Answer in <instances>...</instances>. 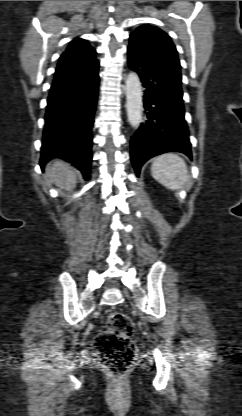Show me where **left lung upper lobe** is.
Listing matches in <instances>:
<instances>
[{
    "instance_id": "obj_1",
    "label": "left lung upper lobe",
    "mask_w": 242,
    "mask_h": 416,
    "mask_svg": "<svg viewBox=\"0 0 242 416\" xmlns=\"http://www.w3.org/2000/svg\"><path fill=\"white\" fill-rule=\"evenodd\" d=\"M130 36H136L161 49L170 59L179 74L181 70L177 50L170 37L161 29L151 25L139 26Z\"/></svg>"
}]
</instances>
